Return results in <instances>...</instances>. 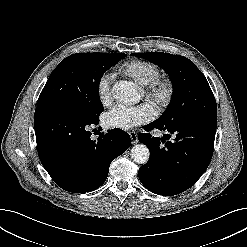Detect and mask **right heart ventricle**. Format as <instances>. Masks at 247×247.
<instances>
[{"label": "right heart ventricle", "instance_id": "e07e8e85", "mask_svg": "<svg viewBox=\"0 0 247 247\" xmlns=\"http://www.w3.org/2000/svg\"><path fill=\"white\" fill-rule=\"evenodd\" d=\"M121 71L140 85H148L160 75L158 67L146 61L128 62L122 67Z\"/></svg>", "mask_w": 247, "mask_h": 247}]
</instances>
